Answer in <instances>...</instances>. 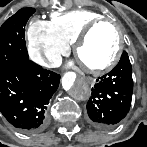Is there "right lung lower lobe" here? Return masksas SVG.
<instances>
[{
	"label": "right lung lower lobe",
	"mask_w": 147,
	"mask_h": 147,
	"mask_svg": "<svg viewBox=\"0 0 147 147\" xmlns=\"http://www.w3.org/2000/svg\"><path fill=\"white\" fill-rule=\"evenodd\" d=\"M60 76L29 59L0 72V111L17 129L39 132L47 125L46 109Z\"/></svg>",
	"instance_id": "1"
}]
</instances>
